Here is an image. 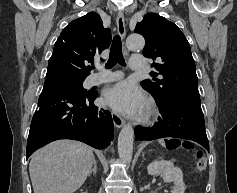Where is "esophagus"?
I'll use <instances>...</instances> for the list:
<instances>
[{
  "mask_svg": "<svg viewBox=\"0 0 237 193\" xmlns=\"http://www.w3.org/2000/svg\"><path fill=\"white\" fill-rule=\"evenodd\" d=\"M118 33L122 39L126 36V28H125V19L124 15L121 11L118 12L116 19ZM113 123L116 128H121L124 125V119L116 112H112Z\"/></svg>",
  "mask_w": 237,
  "mask_h": 193,
  "instance_id": "1",
  "label": "esophagus"
}]
</instances>
